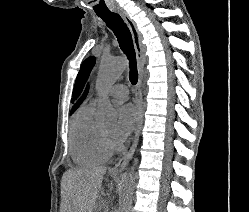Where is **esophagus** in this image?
<instances>
[{"mask_svg": "<svg viewBox=\"0 0 249 212\" xmlns=\"http://www.w3.org/2000/svg\"><path fill=\"white\" fill-rule=\"evenodd\" d=\"M113 12H117L122 17V19L124 20V22L128 25L130 29V32L132 34L134 49H135L136 56H137L138 72H139V80H138V83L136 86V92H135V103L138 108V121H137V127L135 131L134 140L128 152L125 155H123V157L117 162V164L114 165V167H111L109 169L110 173L122 174L134 155V152L138 145L141 129L143 126L142 87H143V79H144V65L146 61V54H145L146 47L143 44L142 35L137 29L135 22L132 20V18L129 17L128 13L125 12L124 8L116 7L113 10Z\"/></svg>", "mask_w": 249, "mask_h": 212, "instance_id": "obj_1", "label": "esophagus"}]
</instances>
